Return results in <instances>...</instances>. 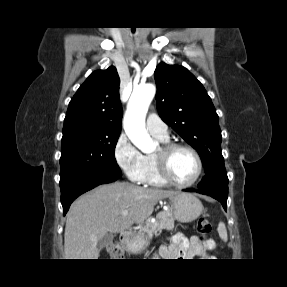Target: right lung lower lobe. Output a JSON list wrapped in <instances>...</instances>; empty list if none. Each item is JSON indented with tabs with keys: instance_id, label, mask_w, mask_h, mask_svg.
Returning a JSON list of instances; mask_svg holds the SVG:
<instances>
[{
	"instance_id": "98d812e1",
	"label": "right lung lower lobe",
	"mask_w": 287,
	"mask_h": 287,
	"mask_svg": "<svg viewBox=\"0 0 287 287\" xmlns=\"http://www.w3.org/2000/svg\"><path fill=\"white\" fill-rule=\"evenodd\" d=\"M120 177L101 173H80L60 180L61 203L64 215L71 203L81 194L100 185L116 181Z\"/></svg>"
}]
</instances>
